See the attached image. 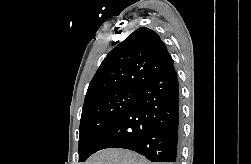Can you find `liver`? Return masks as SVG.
Listing matches in <instances>:
<instances>
[{
	"instance_id": "liver-1",
	"label": "liver",
	"mask_w": 251,
	"mask_h": 164,
	"mask_svg": "<svg viewBox=\"0 0 251 164\" xmlns=\"http://www.w3.org/2000/svg\"><path fill=\"white\" fill-rule=\"evenodd\" d=\"M85 164H151L144 157L129 150L110 148L92 155Z\"/></svg>"
}]
</instances>
